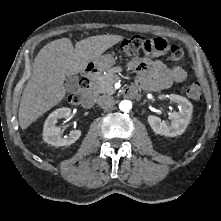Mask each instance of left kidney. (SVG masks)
Masks as SVG:
<instances>
[{"label":"left kidney","instance_id":"1","mask_svg":"<svg viewBox=\"0 0 221 221\" xmlns=\"http://www.w3.org/2000/svg\"><path fill=\"white\" fill-rule=\"evenodd\" d=\"M169 99L171 102L179 105V112H172L169 116L171 125L161 121L159 117L154 115L148 116V123L156 134L175 137L183 134L188 126L193 112V106L189 100L177 94H171Z\"/></svg>","mask_w":221,"mask_h":221}]
</instances>
